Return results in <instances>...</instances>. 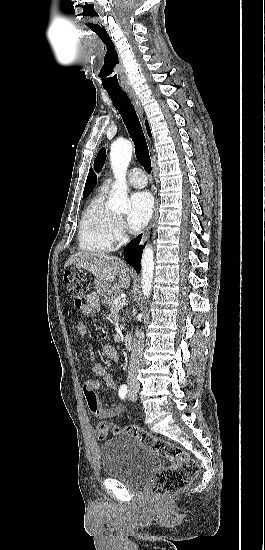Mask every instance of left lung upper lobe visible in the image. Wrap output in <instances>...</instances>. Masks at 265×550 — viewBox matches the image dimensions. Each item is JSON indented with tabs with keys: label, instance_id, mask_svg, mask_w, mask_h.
<instances>
[{
	"label": "left lung upper lobe",
	"instance_id": "1",
	"mask_svg": "<svg viewBox=\"0 0 265 550\" xmlns=\"http://www.w3.org/2000/svg\"><path fill=\"white\" fill-rule=\"evenodd\" d=\"M105 157H106V150H105V148H102L98 152L97 157H96L95 162H94L95 169H96L97 172H100V170L102 169V166H103L104 161H105Z\"/></svg>",
	"mask_w": 265,
	"mask_h": 550
}]
</instances>
